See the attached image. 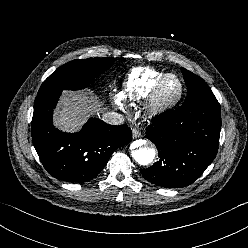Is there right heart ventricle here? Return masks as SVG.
<instances>
[{
    "label": "right heart ventricle",
    "instance_id": "e07e8e85",
    "mask_svg": "<svg viewBox=\"0 0 248 248\" xmlns=\"http://www.w3.org/2000/svg\"><path fill=\"white\" fill-rule=\"evenodd\" d=\"M166 74L150 67L135 68L125 81L122 96L130 100H144L149 97L158 80Z\"/></svg>",
    "mask_w": 248,
    "mask_h": 248
}]
</instances>
